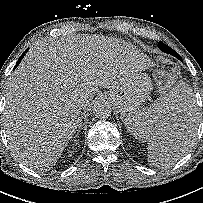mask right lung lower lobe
Returning a JSON list of instances; mask_svg holds the SVG:
<instances>
[{"instance_id":"98d812e1","label":"right lung lower lobe","mask_w":203,"mask_h":203,"mask_svg":"<svg viewBox=\"0 0 203 203\" xmlns=\"http://www.w3.org/2000/svg\"><path fill=\"white\" fill-rule=\"evenodd\" d=\"M28 50V49H27ZM27 50L21 55V57L19 58V60L17 61V64L15 66V68L19 65V63L21 62L22 58L24 57V54L27 52Z\"/></svg>"}]
</instances>
